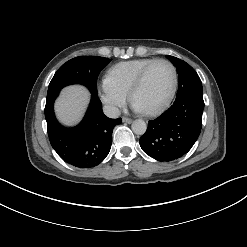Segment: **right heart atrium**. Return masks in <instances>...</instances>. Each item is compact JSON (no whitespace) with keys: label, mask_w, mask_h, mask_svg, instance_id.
<instances>
[{"label":"right heart atrium","mask_w":247,"mask_h":247,"mask_svg":"<svg viewBox=\"0 0 247 247\" xmlns=\"http://www.w3.org/2000/svg\"><path fill=\"white\" fill-rule=\"evenodd\" d=\"M98 94L107 109L116 113L126 102L128 94L116 86L107 77L98 85Z\"/></svg>","instance_id":"right-heart-atrium-1"}]
</instances>
